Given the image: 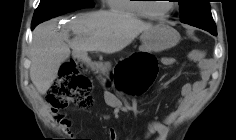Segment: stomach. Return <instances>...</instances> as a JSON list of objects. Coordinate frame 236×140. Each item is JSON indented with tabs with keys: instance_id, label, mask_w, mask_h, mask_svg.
<instances>
[{
	"instance_id": "1",
	"label": "stomach",
	"mask_w": 236,
	"mask_h": 140,
	"mask_svg": "<svg viewBox=\"0 0 236 140\" xmlns=\"http://www.w3.org/2000/svg\"><path fill=\"white\" fill-rule=\"evenodd\" d=\"M180 34L177 30L166 23H159L153 26L141 36L142 52H160L176 46L180 41Z\"/></svg>"
}]
</instances>
